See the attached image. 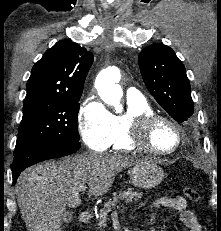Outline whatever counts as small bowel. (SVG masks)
Instances as JSON below:
<instances>
[{"mask_svg":"<svg viewBox=\"0 0 221 231\" xmlns=\"http://www.w3.org/2000/svg\"><path fill=\"white\" fill-rule=\"evenodd\" d=\"M152 209L168 208L180 213V218L188 231H201L200 223L195 214L187 207L185 198L181 196H162L151 204ZM153 221V217L151 218Z\"/></svg>","mask_w":221,"mask_h":231,"instance_id":"1","label":"small bowel"}]
</instances>
